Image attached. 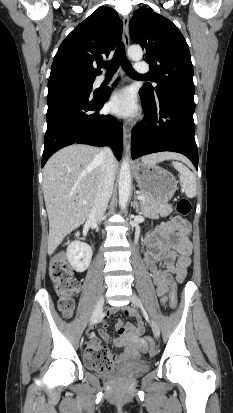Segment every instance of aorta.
<instances>
[{
	"mask_svg": "<svg viewBox=\"0 0 233 413\" xmlns=\"http://www.w3.org/2000/svg\"><path fill=\"white\" fill-rule=\"evenodd\" d=\"M128 56L134 61L141 60L143 56L142 48L137 45L129 47ZM118 190L120 207L121 209H125L131 190V170L128 157H125L121 164L118 180Z\"/></svg>",
	"mask_w": 233,
	"mask_h": 413,
	"instance_id": "762f6f07",
	"label": "aorta"
}]
</instances>
